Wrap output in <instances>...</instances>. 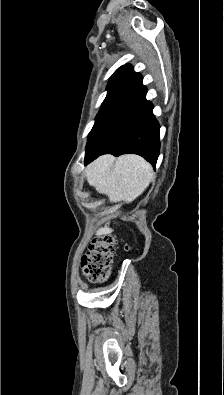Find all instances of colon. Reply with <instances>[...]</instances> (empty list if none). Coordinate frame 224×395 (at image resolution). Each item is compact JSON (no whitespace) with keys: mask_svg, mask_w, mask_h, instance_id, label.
I'll list each match as a JSON object with an SVG mask.
<instances>
[{"mask_svg":"<svg viewBox=\"0 0 224 395\" xmlns=\"http://www.w3.org/2000/svg\"><path fill=\"white\" fill-rule=\"evenodd\" d=\"M116 250V236L104 234L96 237L83 256L81 265L91 280L103 281L110 272Z\"/></svg>","mask_w":224,"mask_h":395,"instance_id":"colon-1","label":"colon"}]
</instances>
